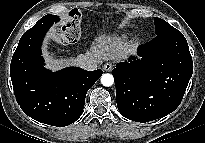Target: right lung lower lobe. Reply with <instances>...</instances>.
I'll return each mask as SVG.
<instances>
[{
  "instance_id": "1",
  "label": "right lung lower lobe",
  "mask_w": 205,
  "mask_h": 143,
  "mask_svg": "<svg viewBox=\"0 0 205 143\" xmlns=\"http://www.w3.org/2000/svg\"><path fill=\"white\" fill-rule=\"evenodd\" d=\"M57 21L44 16L23 34L11 60L10 74L16 100L29 117L64 127L81 116L86 93L103 71L71 67L52 73L43 66L40 46Z\"/></svg>"
}]
</instances>
